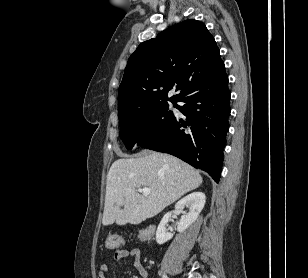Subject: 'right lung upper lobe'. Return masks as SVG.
Segmentation results:
<instances>
[{
  "label": "right lung upper lobe",
  "mask_w": 308,
  "mask_h": 278,
  "mask_svg": "<svg viewBox=\"0 0 308 278\" xmlns=\"http://www.w3.org/2000/svg\"><path fill=\"white\" fill-rule=\"evenodd\" d=\"M226 76L216 42L203 23L190 19L174 25L130 56L119 86V121L143 107L181 101ZM175 83L181 92L168 98Z\"/></svg>",
  "instance_id": "1"
}]
</instances>
